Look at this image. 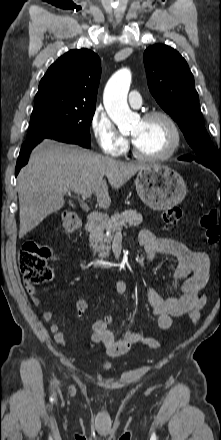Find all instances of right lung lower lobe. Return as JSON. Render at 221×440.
<instances>
[{"label":"right lung lower lobe","mask_w":221,"mask_h":440,"mask_svg":"<svg viewBox=\"0 0 221 440\" xmlns=\"http://www.w3.org/2000/svg\"><path fill=\"white\" fill-rule=\"evenodd\" d=\"M48 139H54V140H57L60 142H65V143L77 144L76 142H74L72 140L64 139V138H36V139L26 140L22 145V148L19 153V157L17 159V164H16V168H15V175L16 176L19 173L20 169L27 164L31 150L41 141L48 140ZM77 145H79V144H77Z\"/></svg>","instance_id":"98d812e1"}]
</instances>
